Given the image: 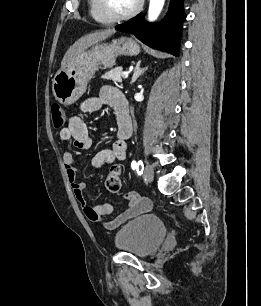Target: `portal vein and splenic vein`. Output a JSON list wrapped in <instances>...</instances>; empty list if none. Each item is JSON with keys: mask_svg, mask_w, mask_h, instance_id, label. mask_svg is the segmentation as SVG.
Masks as SVG:
<instances>
[{"mask_svg": "<svg viewBox=\"0 0 261 306\" xmlns=\"http://www.w3.org/2000/svg\"><path fill=\"white\" fill-rule=\"evenodd\" d=\"M122 77H123L124 79H126V78L128 77V73H123V74H122Z\"/></svg>", "mask_w": 261, "mask_h": 306, "instance_id": "1", "label": "portal vein and splenic vein"}]
</instances>
